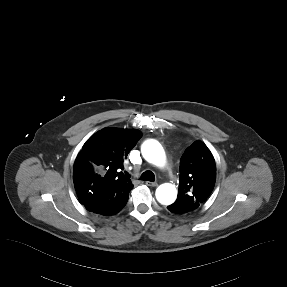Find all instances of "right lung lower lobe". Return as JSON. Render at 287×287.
I'll list each match as a JSON object with an SVG mask.
<instances>
[{
  "label": "right lung lower lobe",
  "instance_id": "98d812e1",
  "mask_svg": "<svg viewBox=\"0 0 287 287\" xmlns=\"http://www.w3.org/2000/svg\"><path fill=\"white\" fill-rule=\"evenodd\" d=\"M132 188L123 184L92 187L82 204L90 212L106 216L114 215L126 205Z\"/></svg>",
  "mask_w": 287,
  "mask_h": 287
}]
</instances>
